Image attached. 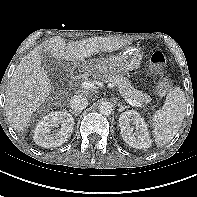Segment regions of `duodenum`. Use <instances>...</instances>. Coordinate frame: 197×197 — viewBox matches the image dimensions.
<instances>
[{"label":"duodenum","instance_id":"duodenum-1","mask_svg":"<svg viewBox=\"0 0 197 197\" xmlns=\"http://www.w3.org/2000/svg\"><path fill=\"white\" fill-rule=\"evenodd\" d=\"M79 73H80V69H79V68H76V69L73 71V73H72L73 79H76V78L78 77Z\"/></svg>","mask_w":197,"mask_h":197}]
</instances>
